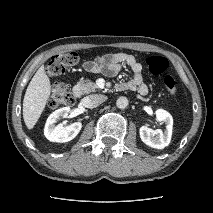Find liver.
Listing matches in <instances>:
<instances>
[{"label": "liver", "mask_w": 213, "mask_h": 213, "mask_svg": "<svg viewBox=\"0 0 213 213\" xmlns=\"http://www.w3.org/2000/svg\"><path fill=\"white\" fill-rule=\"evenodd\" d=\"M50 92V80L41 66L31 79L23 100V118L28 129H32L40 118Z\"/></svg>", "instance_id": "obj_1"}]
</instances>
